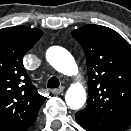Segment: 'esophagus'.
Segmentation results:
<instances>
[{
  "label": "esophagus",
  "mask_w": 131,
  "mask_h": 131,
  "mask_svg": "<svg viewBox=\"0 0 131 131\" xmlns=\"http://www.w3.org/2000/svg\"><path fill=\"white\" fill-rule=\"evenodd\" d=\"M63 91H64V87L63 86H61V87H59L57 89H52L51 90L52 94H55V95L61 94Z\"/></svg>",
  "instance_id": "34e87169"
}]
</instances>
